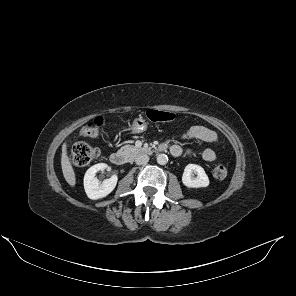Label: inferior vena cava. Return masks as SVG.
I'll use <instances>...</instances> for the list:
<instances>
[{
	"label": "inferior vena cava",
	"instance_id": "inferior-vena-cava-1",
	"mask_svg": "<svg viewBox=\"0 0 296 296\" xmlns=\"http://www.w3.org/2000/svg\"><path fill=\"white\" fill-rule=\"evenodd\" d=\"M148 161H149V157H148V155H146V154H138V155L135 157V163H136L137 165H143V164H146Z\"/></svg>",
	"mask_w": 296,
	"mask_h": 296
}]
</instances>
